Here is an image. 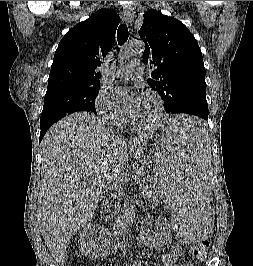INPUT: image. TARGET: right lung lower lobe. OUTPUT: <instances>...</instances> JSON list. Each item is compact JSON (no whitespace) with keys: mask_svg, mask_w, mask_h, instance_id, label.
<instances>
[{"mask_svg":"<svg viewBox=\"0 0 253 266\" xmlns=\"http://www.w3.org/2000/svg\"><path fill=\"white\" fill-rule=\"evenodd\" d=\"M49 129V127H44L41 128V133H40V138H39V142L42 140V138L44 137L46 131Z\"/></svg>","mask_w":253,"mask_h":266,"instance_id":"98d812e1","label":"right lung lower lobe"}]
</instances>
